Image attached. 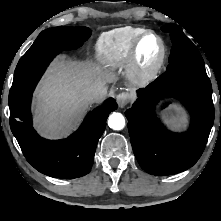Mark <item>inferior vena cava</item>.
I'll list each match as a JSON object with an SVG mask.
<instances>
[{"instance_id":"1","label":"inferior vena cava","mask_w":221,"mask_h":221,"mask_svg":"<svg viewBox=\"0 0 221 221\" xmlns=\"http://www.w3.org/2000/svg\"><path fill=\"white\" fill-rule=\"evenodd\" d=\"M104 93H105L104 84L97 83L86 89L85 97L89 103H94L96 101H99L103 97Z\"/></svg>"}]
</instances>
